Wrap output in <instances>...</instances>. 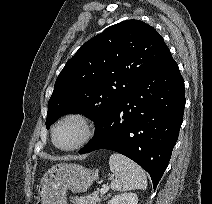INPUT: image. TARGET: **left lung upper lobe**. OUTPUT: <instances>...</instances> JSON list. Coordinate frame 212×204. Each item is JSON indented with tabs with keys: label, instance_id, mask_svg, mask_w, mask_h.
<instances>
[{
	"label": "left lung upper lobe",
	"instance_id": "5c2ea615",
	"mask_svg": "<svg viewBox=\"0 0 212 204\" xmlns=\"http://www.w3.org/2000/svg\"><path fill=\"white\" fill-rule=\"evenodd\" d=\"M169 52L162 36L126 20L84 43L60 72L48 102L47 129L63 114L82 113L99 126Z\"/></svg>",
	"mask_w": 212,
	"mask_h": 204
}]
</instances>
